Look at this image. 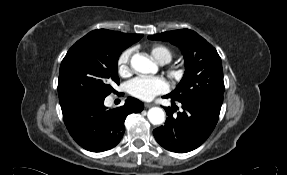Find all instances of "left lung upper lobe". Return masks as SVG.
<instances>
[{
  "label": "left lung upper lobe",
  "mask_w": 287,
  "mask_h": 175,
  "mask_svg": "<svg viewBox=\"0 0 287 175\" xmlns=\"http://www.w3.org/2000/svg\"><path fill=\"white\" fill-rule=\"evenodd\" d=\"M148 38L169 41L181 49L185 58L184 77L168 95L175 101L202 104L219 114L224 81L221 58L216 49L203 37L188 29L155 34Z\"/></svg>",
  "instance_id": "left-lung-upper-lobe-1"
}]
</instances>
